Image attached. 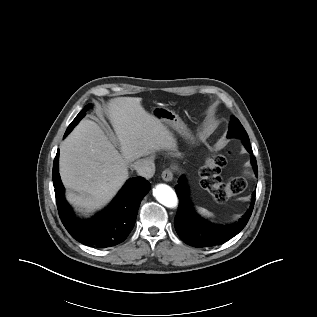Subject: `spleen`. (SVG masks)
Wrapping results in <instances>:
<instances>
[{
  "mask_svg": "<svg viewBox=\"0 0 317 317\" xmlns=\"http://www.w3.org/2000/svg\"><path fill=\"white\" fill-rule=\"evenodd\" d=\"M197 211L199 214H201L204 217H213L214 214L212 212H209L207 209L202 207H197Z\"/></svg>",
  "mask_w": 317,
  "mask_h": 317,
  "instance_id": "3e777b00",
  "label": "spleen"
}]
</instances>
